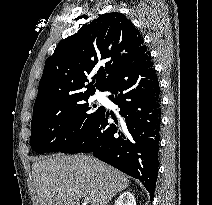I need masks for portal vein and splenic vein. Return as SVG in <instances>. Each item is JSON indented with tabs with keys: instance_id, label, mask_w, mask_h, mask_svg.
I'll return each mask as SVG.
<instances>
[{
	"instance_id": "obj_1",
	"label": "portal vein and splenic vein",
	"mask_w": 212,
	"mask_h": 205,
	"mask_svg": "<svg viewBox=\"0 0 212 205\" xmlns=\"http://www.w3.org/2000/svg\"><path fill=\"white\" fill-rule=\"evenodd\" d=\"M87 203H89V198L88 197L84 198V205H86Z\"/></svg>"
}]
</instances>
